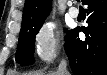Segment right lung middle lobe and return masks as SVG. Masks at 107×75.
Here are the masks:
<instances>
[{
	"label": "right lung middle lobe",
	"mask_w": 107,
	"mask_h": 75,
	"mask_svg": "<svg viewBox=\"0 0 107 75\" xmlns=\"http://www.w3.org/2000/svg\"><path fill=\"white\" fill-rule=\"evenodd\" d=\"M43 23H24L20 31L18 47L16 51V62L22 66L30 65L34 62L35 36ZM72 30L67 32L65 40L71 35Z\"/></svg>",
	"instance_id": "1"
}]
</instances>
